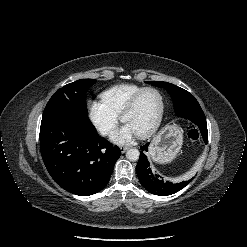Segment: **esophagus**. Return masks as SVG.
Here are the masks:
<instances>
[{"label":"esophagus","mask_w":247,"mask_h":247,"mask_svg":"<svg viewBox=\"0 0 247 247\" xmlns=\"http://www.w3.org/2000/svg\"><path fill=\"white\" fill-rule=\"evenodd\" d=\"M120 150L121 153H125L128 150V147H121Z\"/></svg>","instance_id":"1"}]
</instances>
